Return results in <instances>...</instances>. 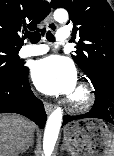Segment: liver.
<instances>
[{
    "label": "liver",
    "instance_id": "liver-1",
    "mask_svg": "<svg viewBox=\"0 0 114 156\" xmlns=\"http://www.w3.org/2000/svg\"><path fill=\"white\" fill-rule=\"evenodd\" d=\"M35 124L14 114H0V156H17L30 143Z\"/></svg>",
    "mask_w": 114,
    "mask_h": 156
}]
</instances>
